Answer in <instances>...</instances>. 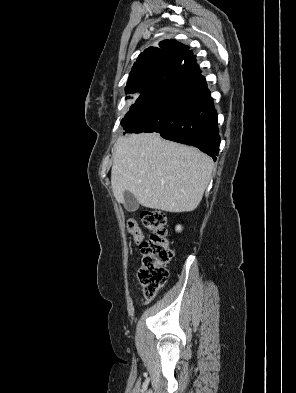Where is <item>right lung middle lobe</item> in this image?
Listing matches in <instances>:
<instances>
[{"instance_id": "right-lung-middle-lobe-1", "label": "right lung middle lobe", "mask_w": 296, "mask_h": 393, "mask_svg": "<svg viewBox=\"0 0 296 393\" xmlns=\"http://www.w3.org/2000/svg\"><path fill=\"white\" fill-rule=\"evenodd\" d=\"M163 78H158L147 83L141 90L140 96L136 99V101L131 105L129 112L125 115L123 120L121 121V125L124 127L129 122L134 120L141 110L146 106L155 95L158 87L163 82Z\"/></svg>"}]
</instances>
